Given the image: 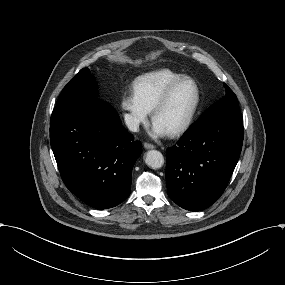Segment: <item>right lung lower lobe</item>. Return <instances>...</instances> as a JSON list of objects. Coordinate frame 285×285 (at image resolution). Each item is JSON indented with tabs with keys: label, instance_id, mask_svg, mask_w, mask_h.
<instances>
[{
	"label": "right lung lower lobe",
	"instance_id": "obj_1",
	"mask_svg": "<svg viewBox=\"0 0 285 285\" xmlns=\"http://www.w3.org/2000/svg\"><path fill=\"white\" fill-rule=\"evenodd\" d=\"M50 143L63 182L84 203L107 209L129 196L141 145L111 105L102 100L56 105Z\"/></svg>",
	"mask_w": 285,
	"mask_h": 285
}]
</instances>
